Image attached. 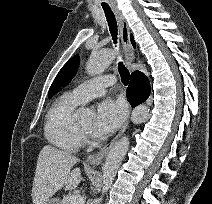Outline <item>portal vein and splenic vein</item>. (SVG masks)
Listing matches in <instances>:
<instances>
[{
  "label": "portal vein and splenic vein",
  "mask_w": 212,
  "mask_h": 204,
  "mask_svg": "<svg viewBox=\"0 0 212 204\" xmlns=\"http://www.w3.org/2000/svg\"><path fill=\"white\" fill-rule=\"evenodd\" d=\"M70 204H84V198L79 194H75L71 197Z\"/></svg>",
  "instance_id": "1"
}]
</instances>
